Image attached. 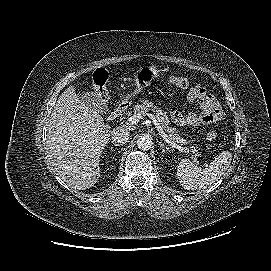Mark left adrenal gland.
<instances>
[{"instance_id":"1","label":"left adrenal gland","mask_w":271,"mask_h":271,"mask_svg":"<svg viewBox=\"0 0 271 271\" xmlns=\"http://www.w3.org/2000/svg\"><path fill=\"white\" fill-rule=\"evenodd\" d=\"M159 145H160V150L162 151V153H165L167 151H169V148L162 143V142H159Z\"/></svg>"}]
</instances>
